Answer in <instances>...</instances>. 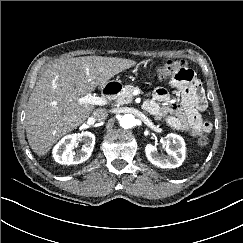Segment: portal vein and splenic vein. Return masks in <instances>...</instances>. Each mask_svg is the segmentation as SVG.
<instances>
[{"label": "portal vein and splenic vein", "instance_id": "portal-vein-and-splenic-vein-1", "mask_svg": "<svg viewBox=\"0 0 243 243\" xmlns=\"http://www.w3.org/2000/svg\"><path fill=\"white\" fill-rule=\"evenodd\" d=\"M80 104H92V105H106L108 103V100L105 97H99L92 95L91 92H88L85 96L79 98Z\"/></svg>", "mask_w": 243, "mask_h": 243}]
</instances>
